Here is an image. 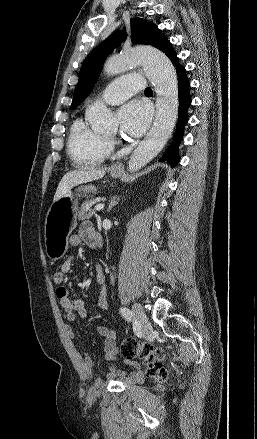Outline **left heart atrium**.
<instances>
[{"label":"left heart atrium","instance_id":"39dd6f15","mask_svg":"<svg viewBox=\"0 0 257 439\" xmlns=\"http://www.w3.org/2000/svg\"><path fill=\"white\" fill-rule=\"evenodd\" d=\"M118 117L121 134L133 139L146 130L151 119V110L145 102L132 101L119 110Z\"/></svg>","mask_w":257,"mask_h":439}]
</instances>
